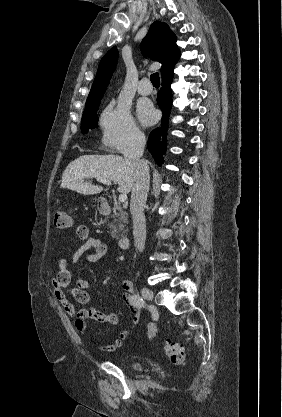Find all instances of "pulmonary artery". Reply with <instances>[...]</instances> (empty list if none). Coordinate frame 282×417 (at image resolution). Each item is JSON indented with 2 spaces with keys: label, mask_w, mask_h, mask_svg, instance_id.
I'll return each instance as SVG.
<instances>
[{
  "label": "pulmonary artery",
  "mask_w": 282,
  "mask_h": 417,
  "mask_svg": "<svg viewBox=\"0 0 282 417\" xmlns=\"http://www.w3.org/2000/svg\"><path fill=\"white\" fill-rule=\"evenodd\" d=\"M146 83H149V80L147 78H143L137 87L138 93L143 96L149 95L152 92V87L145 86Z\"/></svg>",
  "instance_id": "obj_1"
}]
</instances>
